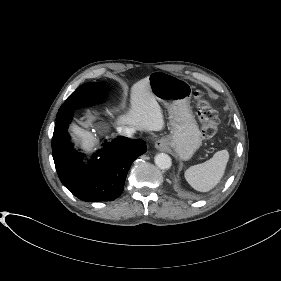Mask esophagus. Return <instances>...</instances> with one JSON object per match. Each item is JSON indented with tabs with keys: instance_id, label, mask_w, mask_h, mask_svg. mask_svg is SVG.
<instances>
[{
	"instance_id": "obj_1",
	"label": "esophagus",
	"mask_w": 281,
	"mask_h": 281,
	"mask_svg": "<svg viewBox=\"0 0 281 281\" xmlns=\"http://www.w3.org/2000/svg\"><path fill=\"white\" fill-rule=\"evenodd\" d=\"M155 148L159 151H165L167 149V143L164 139L157 140L155 142Z\"/></svg>"
}]
</instances>
